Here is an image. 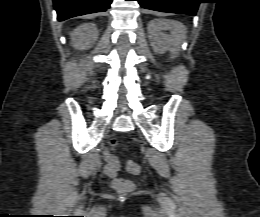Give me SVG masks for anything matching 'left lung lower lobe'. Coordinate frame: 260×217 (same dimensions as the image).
I'll use <instances>...</instances> for the list:
<instances>
[{
    "label": "left lung lower lobe",
    "instance_id": "left-lung-lower-lobe-1",
    "mask_svg": "<svg viewBox=\"0 0 260 217\" xmlns=\"http://www.w3.org/2000/svg\"><path fill=\"white\" fill-rule=\"evenodd\" d=\"M145 9L195 16L201 0H137Z\"/></svg>",
    "mask_w": 260,
    "mask_h": 217
}]
</instances>
